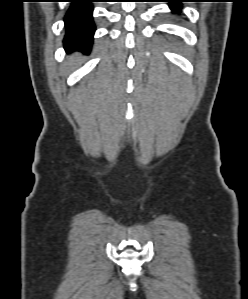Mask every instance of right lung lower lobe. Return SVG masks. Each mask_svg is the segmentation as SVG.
I'll use <instances>...</instances> for the list:
<instances>
[{"instance_id": "98d812e1", "label": "right lung lower lobe", "mask_w": 248, "mask_h": 299, "mask_svg": "<svg viewBox=\"0 0 248 299\" xmlns=\"http://www.w3.org/2000/svg\"><path fill=\"white\" fill-rule=\"evenodd\" d=\"M64 21L66 34L63 40L68 51L79 50L88 53L93 43L96 30L93 21L94 0H69Z\"/></svg>"}]
</instances>
